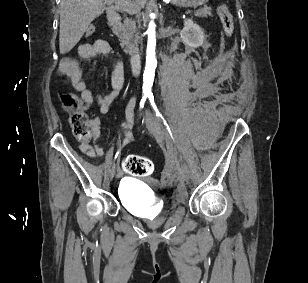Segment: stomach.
I'll return each mask as SVG.
<instances>
[{"instance_id": "0dacf381", "label": "stomach", "mask_w": 308, "mask_h": 283, "mask_svg": "<svg viewBox=\"0 0 308 283\" xmlns=\"http://www.w3.org/2000/svg\"><path fill=\"white\" fill-rule=\"evenodd\" d=\"M172 4L180 7L200 6L207 3L209 0H170Z\"/></svg>"}]
</instances>
